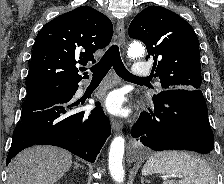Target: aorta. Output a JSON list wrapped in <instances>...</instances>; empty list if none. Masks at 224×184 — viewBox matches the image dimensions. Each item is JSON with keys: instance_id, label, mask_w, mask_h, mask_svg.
<instances>
[{"instance_id": "762f6f07", "label": "aorta", "mask_w": 224, "mask_h": 184, "mask_svg": "<svg viewBox=\"0 0 224 184\" xmlns=\"http://www.w3.org/2000/svg\"><path fill=\"white\" fill-rule=\"evenodd\" d=\"M144 53V47L141 43L134 41L131 42L127 55L130 58H137L142 56ZM125 139L123 136H117L113 139L110 145L109 151V170L112 178L117 183H122L124 181V169L122 165L123 155H124Z\"/></svg>"}]
</instances>
